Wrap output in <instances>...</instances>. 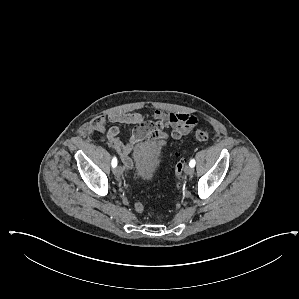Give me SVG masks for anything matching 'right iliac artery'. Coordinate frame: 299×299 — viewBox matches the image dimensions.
<instances>
[{
  "label": "right iliac artery",
  "instance_id": "obj_1",
  "mask_svg": "<svg viewBox=\"0 0 299 299\" xmlns=\"http://www.w3.org/2000/svg\"><path fill=\"white\" fill-rule=\"evenodd\" d=\"M112 167L113 168H115L116 166H117V159H116V157H114L113 159H112Z\"/></svg>",
  "mask_w": 299,
  "mask_h": 299
}]
</instances>
